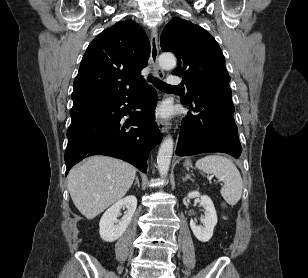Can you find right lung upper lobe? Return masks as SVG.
Returning <instances> with one entry per match:
<instances>
[{"instance_id":"1","label":"right lung upper lobe","mask_w":308,"mask_h":278,"mask_svg":"<svg viewBox=\"0 0 308 278\" xmlns=\"http://www.w3.org/2000/svg\"><path fill=\"white\" fill-rule=\"evenodd\" d=\"M149 55L148 37L134 22H117L101 32L82 58L73 83L70 115L140 91L144 83L140 73Z\"/></svg>"}]
</instances>
